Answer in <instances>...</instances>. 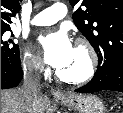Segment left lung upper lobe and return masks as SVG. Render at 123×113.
Segmentation results:
<instances>
[{
    "label": "left lung upper lobe",
    "instance_id": "5c2ea615",
    "mask_svg": "<svg viewBox=\"0 0 123 113\" xmlns=\"http://www.w3.org/2000/svg\"><path fill=\"white\" fill-rule=\"evenodd\" d=\"M79 0H70L74 7ZM73 14L78 30L88 39L99 58L98 71L110 74L123 60V0H83Z\"/></svg>",
    "mask_w": 123,
    "mask_h": 113
}]
</instances>
